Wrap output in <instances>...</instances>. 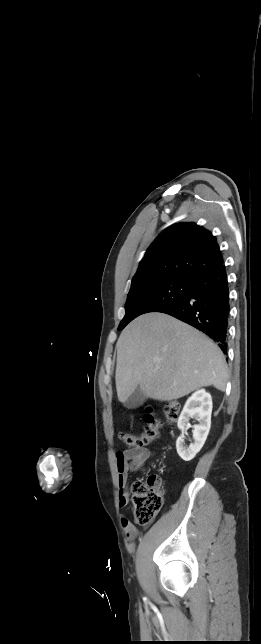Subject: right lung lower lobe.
I'll return each mask as SVG.
<instances>
[{
	"label": "right lung lower lobe",
	"instance_id": "1",
	"mask_svg": "<svg viewBox=\"0 0 261 644\" xmlns=\"http://www.w3.org/2000/svg\"><path fill=\"white\" fill-rule=\"evenodd\" d=\"M191 283V289L179 303L159 312L204 332L226 353L230 304L225 265L196 276Z\"/></svg>",
	"mask_w": 261,
	"mask_h": 644
}]
</instances>
